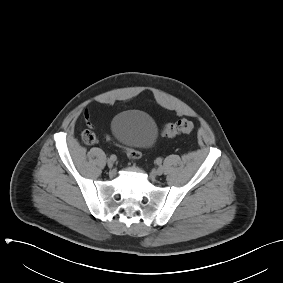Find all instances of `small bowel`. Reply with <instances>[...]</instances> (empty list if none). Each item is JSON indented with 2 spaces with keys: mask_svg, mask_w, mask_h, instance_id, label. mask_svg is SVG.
<instances>
[{
  "mask_svg": "<svg viewBox=\"0 0 283 283\" xmlns=\"http://www.w3.org/2000/svg\"><path fill=\"white\" fill-rule=\"evenodd\" d=\"M84 115H85L86 120L88 121L89 120V113H88L87 110L85 111Z\"/></svg>",
  "mask_w": 283,
  "mask_h": 283,
  "instance_id": "c3829d8e",
  "label": "small bowel"
}]
</instances>
